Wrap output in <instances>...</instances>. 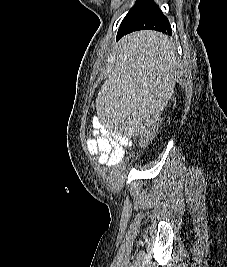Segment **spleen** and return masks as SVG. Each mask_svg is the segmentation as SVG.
Segmentation results:
<instances>
[{"label": "spleen", "mask_w": 227, "mask_h": 267, "mask_svg": "<svg viewBox=\"0 0 227 267\" xmlns=\"http://www.w3.org/2000/svg\"><path fill=\"white\" fill-rule=\"evenodd\" d=\"M119 63H109L98 93L99 115H160L175 86L177 56L166 36L138 30L114 50ZM146 104L151 106H129ZM104 129H116L120 137H140L153 116H100Z\"/></svg>", "instance_id": "spleen-1"}]
</instances>
